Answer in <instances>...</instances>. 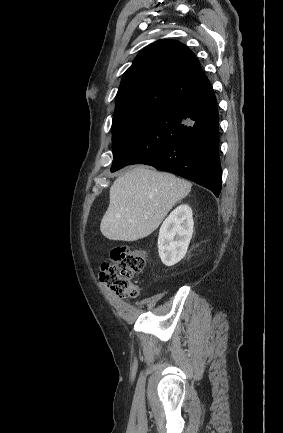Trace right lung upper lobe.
Returning a JSON list of instances; mask_svg holds the SVG:
<instances>
[{
  "label": "right lung upper lobe",
  "instance_id": "1",
  "mask_svg": "<svg viewBox=\"0 0 283 433\" xmlns=\"http://www.w3.org/2000/svg\"><path fill=\"white\" fill-rule=\"evenodd\" d=\"M209 86L188 47L174 40H159L144 48L124 73L115 109L136 106L164 111Z\"/></svg>",
  "mask_w": 283,
  "mask_h": 433
}]
</instances>
